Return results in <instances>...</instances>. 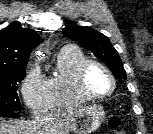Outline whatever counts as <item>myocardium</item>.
<instances>
[{"label":"myocardium","mask_w":153,"mask_h":134,"mask_svg":"<svg viewBox=\"0 0 153 134\" xmlns=\"http://www.w3.org/2000/svg\"><path fill=\"white\" fill-rule=\"evenodd\" d=\"M94 66L102 69L109 76L112 82L111 89L106 93L93 94L87 88L86 77H87L88 71ZM75 83H76V89L78 93L87 100H100V99L109 97L110 95L114 93L117 86V81L112 71L105 64L94 59H87L78 67L75 74Z\"/></svg>","instance_id":"myocardium-1"}]
</instances>
